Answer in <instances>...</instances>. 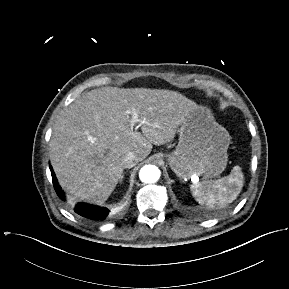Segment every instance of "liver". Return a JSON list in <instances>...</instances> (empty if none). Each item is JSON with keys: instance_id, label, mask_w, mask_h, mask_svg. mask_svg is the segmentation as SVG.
<instances>
[{"instance_id": "obj_1", "label": "liver", "mask_w": 289, "mask_h": 289, "mask_svg": "<svg viewBox=\"0 0 289 289\" xmlns=\"http://www.w3.org/2000/svg\"><path fill=\"white\" fill-rule=\"evenodd\" d=\"M195 106L163 89L102 87L83 93L53 126L50 160L59 184L76 200L103 204L122 177L126 154L142 161L153 145L173 141ZM132 111L141 132L131 126Z\"/></svg>"}]
</instances>
